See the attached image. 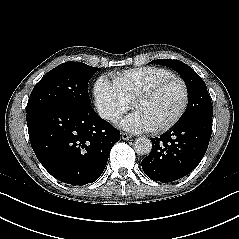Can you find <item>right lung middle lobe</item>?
Segmentation results:
<instances>
[{"mask_svg":"<svg viewBox=\"0 0 239 239\" xmlns=\"http://www.w3.org/2000/svg\"><path fill=\"white\" fill-rule=\"evenodd\" d=\"M100 68L66 62L49 71L33 88L27 110L46 106H89L88 81Z\"/></svg>","mask_w":239,"mask_h":239,"instance_id":"obj_1","label":"right lung middle lobe"}]
</instances>
